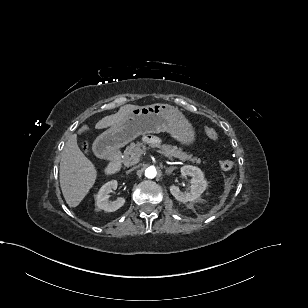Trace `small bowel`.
Returning <instances> with one entry per match:
<instances>
[{
  "mask_svg": "<svg viewBox=\"0 0 308 308\" xmlns=\"http://www.w3.org/2000/svg\"><path fill=\"white\" fill-rule=\"evenodd\" d=\"M145 141L148 142V143H158L159 139L155 136H147L145 138Z\"/></svg>",
  "mask_w": 308,
  "mask_h": 308,
  "instance_id": "c3829d8e",
  "label": "small bowel"
}]
</instances>
